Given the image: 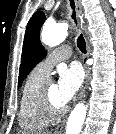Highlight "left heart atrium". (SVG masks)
<instances>
[{"label": "left heart atrium", "instance_id": "1", "mask_svg": "<svg viewBox=\"0 0 116 134\" xmlns=\"http://www.w3.org/2000/svg\"><path fill=\"white\" fill-rule=\"evenodd\" d=\"M58 95L62 105L69 103L78 92L84 78L83 71L78 64H71L59 69Z\"/></svg>", "mask_w": 116, "mask_h": 134}]
</instances>
